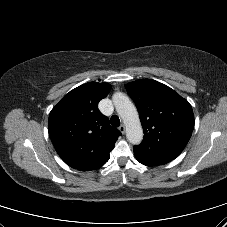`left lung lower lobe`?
<instances>
[{
    "mask_svg": "<svg viewBox=\"0 0 227 227\" xmlns=\"http://www.w3.org/2000/svg\"><path fill=\"white\" fill-rule=\"evenodd\" d=\"M134 154L137 160L146 166H159L172 161V158L160 155H148L134 146Z\"/></svg>",
    "mask_w": 227,
    "mask_h": 227,
    "instance_id": "left-lung-lower-lobe-1",
    "label": "left lung lower lobe"
}]
</instances>
